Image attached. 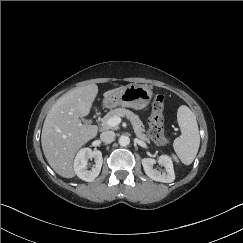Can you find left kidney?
<instances>
[{"mask_svg":"<svg viewBox=\"0 0 243 243\" xmlns=\"http://www.w3.org/2000/svg\"><path fill=\"white\" fill-rule=\"evenodd\" d=\"M156 163L155 159L144 158L142 159V165L144 171L147 176H149L152 180L163 182V183H171L175 179L173 163L169 156L161 155L158 159V163L165 168V172L161 174L156 169H153V165Z\"/></svg>","mask_w":243,"mask_h":243,"instance_id":"left-kidney-1","label":"left kidney"}]
</instances>
